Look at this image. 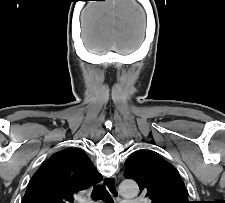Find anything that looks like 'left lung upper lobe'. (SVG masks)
Wrapping results in <instances>:
<instances>
[{"label": "left lung upper lobe", "instance_id": "left-lung-upper-lobe-1", "mask_svg": "<svg viewBox=\"0 0 225 203\" xmlns=\"http://www.w3.org/2000/svg\"><path fill=\"white\" fill-rule=\"evenodd\" d=\"M125 164V178L135 180L151 203H191L178 171L157 154L138 150Z\"/></svg>", "mask_w": 225, "mask_h": 203}]
</instances>
